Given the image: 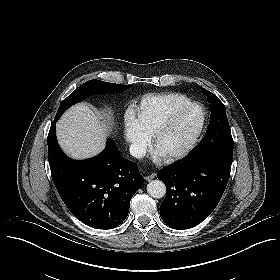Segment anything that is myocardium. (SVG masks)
<instances>
[{
  "mask_svg": "<svg viewBox=\"0 0 280 280\" xmlns=\"http://www.w3.org/2000/svg\"><path fill=\"white\" fill-rule=\"evenodd\" d=\"M192 108H198V106H196L195 104H189L186 106L184 111H188ZM199 112H200V119H199V122L196 124L195 128L187 135V138L185 139V141L182 143V145L179 148L163 155L164 159L172 160V159L180 157L187 150V148L189 147L191 142L199 135V133L201 132L202 127H203V112L200 108H199ZM166 129H167V125L162 126L161 129L152 138L151 143H150V147H151L150 150L153 154H155V152L157 150L158 142Z\"/></svg>",
  "mask_w": 280,
  "mask_h": 280,
  "instance_id": "f54148a6",
  "label": "myocardium"
}]
</instances>
